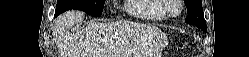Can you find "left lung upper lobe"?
<instances>
[{"instance_id": "1", "label": "left lung upper lobe", "mask_w": 249, "mask_h": 57, "mask_svg": "<svg viewBox=\"0 0 249 57\" xmlns=\"http://www.w3.org/2000/svg\"><path fill=\"white\" fill-rule=\"evenodd\" d=\"M184 2L188 13L185 22L194 24L200 27L202 30H205L206 21L204 19L201 0H184Z\"/></svg>"}]
</instances>
